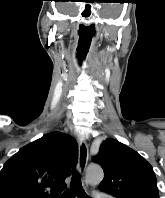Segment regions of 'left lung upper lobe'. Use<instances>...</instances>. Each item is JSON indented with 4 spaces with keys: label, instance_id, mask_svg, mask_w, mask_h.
Wrapping results in <instances>:
<instances>
[{
    "label": "left lung upper lobe",
    "instance_id": "left-lung-upper-lobe-1",
    "mask_svg": "<svg viewBox=\"0 0 165 198\" xmlns=\"http://www.w3.org/2000/svg\"><path fill=\"white\" fill-rule=\"evenodd\" d=\"M93 161L104 169L99 189L116 198H159L151 165L136 151L108 138Z\"/></svg>",
    "mask_w": 165,
    "mask_h": 198
}]
</instances>
